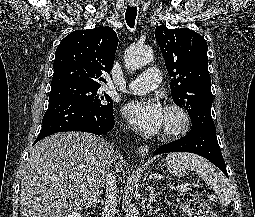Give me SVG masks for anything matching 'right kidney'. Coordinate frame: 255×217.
<instances>
[{
	"mask_svg": "<svg viewBox=\"0 0 255 217\" xmlns=\"http://www.w3.org/2000/svg\"><path fill=\"white\" fill-rule=\"evenodd\" d=\"M65 217H82V215L79 212H71L67 214Z\"/></svg>",
	"mask_w": 255,
	"mask_h": 217,
	"instance_id": "ca27d5eb",
	"label": "right kidney"
}]
</instances>
